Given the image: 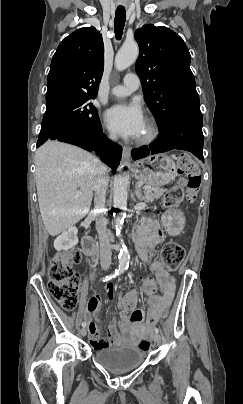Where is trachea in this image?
I'll list each match as a JSON object with an SVG mask.
<instances>
[{
  "mask_svg": "<svg viewBox=\"0 0 243 404\" xmlns=\"http://www.w3.org/2000/svg\"><path fill=\"white\" fill-rule=\"evenodd\" d=\"M125 20H126L125 8L121 6L117 7L115 12V23H114V31L117 40H120L123 35Z\"/></svg>",
  "mask_w": 243,
  "mask_h": 404,
  "instance_id": "trachea-1",
  "label": "trachea"
}]
</instances>
